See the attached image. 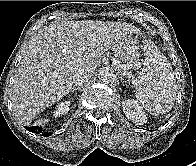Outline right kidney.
<instances>
[{
  "label": "right kidney",
  "mask_w": 196,
  "mask_h": 166,
  "mask_svg": "<svg viewBox=\"0 0 196 166\" xmlns=\"http://www.w3.org/2000/svg\"><path fill=\"white\" fill-rule=\"evenodd\" d=\"M70 101H64L57 105L56 109L53 111L54 117H60L69 111Z\"/></svg>",
  "instance_id": "ca27d5eb"
}]
</instances>
